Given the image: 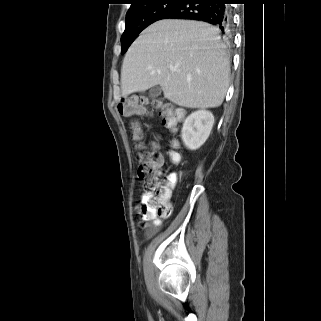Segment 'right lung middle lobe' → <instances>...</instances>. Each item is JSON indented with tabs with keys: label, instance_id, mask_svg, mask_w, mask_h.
<instances>
[{
	"label": "right lung middle lobe",
	"instance_id": "dd1d6c3e",
	"mask_svg": "<svg viewBox=\"0 0 321 321\" xmlns=\"http://www.w3.org/2000/svg\"><path fill=\"white\" fill-rule=\"evenodd\" d=\"M180 0H152L142 5L130 7L126 14L125 31L121 37L124 54L141 31L156 22L160 17L175 7Z\"/></svg>",
	"mask_w": 321,
	"mask_h": 321
}]
</instances>
